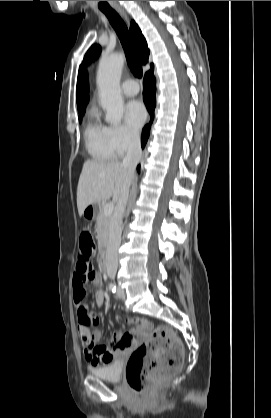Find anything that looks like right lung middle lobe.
<instances>
[{
    "label": "right lung middle lobe",
    "mask_w": 271,
    "mask_h": 418,
    "mask_svg": "<svg viewBox=\"0 0 271 418\" xmlns=\"http://www.w3.org/2000/svg\"><path fill=\"white\" fill-rule=\"evenodd\" d=\"M81 115H83V114H81ZM79 121L81 122V117H79Z\"/></svg>",
    "instance_id": "right-lung-middle-lobe-1"
}]
</instances>
